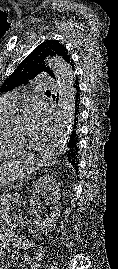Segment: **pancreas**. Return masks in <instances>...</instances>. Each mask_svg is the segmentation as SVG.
I'll list each match as a JSON object with an SVG mask.
<instances>
[{
  "mask_svg": "<svg viewBox=\"0 0 118 269\" xmlns=\"http://www.w3.org/2000/svg\"><path fill=\"white\" fill-rule=\"evenodd\" d=\"M33 182V177H23V179H18L17 182H11L8 188L9 192H20L25 189L23 184H30Z\"/></svg>",
  "mask_w": 118,
  "mask_h": 269,
  "instance_id": "cf45deb5",
  "label": "pancreas"
}]
</instances>
